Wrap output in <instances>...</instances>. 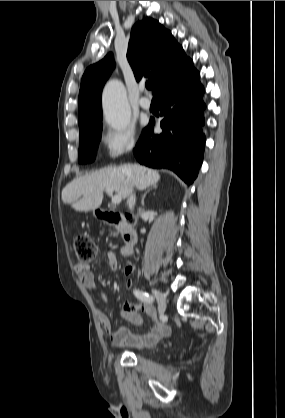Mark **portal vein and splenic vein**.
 Wrapping results in <instances>:
<instances>
[{"instance_id": "obj_1", "label": "portal vein and splenic vein", "mask_w": 285, "mask_h": 418, "mask_svg": "<svg viewBox=\"0 0 285 418\" xmlns=\"http://www.w3.org/2000/svg\"><path fill=\"white\" fill-rule=\"evenodd\" d=\"M106 193L109 195H113V189L112 188H106ZM122 198L119 195H115L112 197V203L113 204H119L121 202Z\"/></svg>"}]
</instances>
